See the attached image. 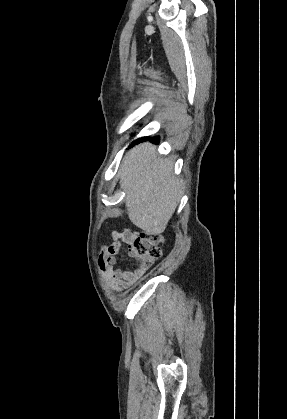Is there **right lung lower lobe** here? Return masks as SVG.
Segmentation results:
<instances>
[{
  "mask_svg": "<svg viewBox=\"0 0 287 419\" xmlns=\"http://www.w3.org/2000/svg\"><path fill=\"white\" fill-rule=\"evenodd\" d=\"M149 140V141H151V142H153V143H159V137H153V138H149V137H143V138H141V139H138L137 141H136V143L137 142H141V141H145V140Z\"/></svg>",
  "mask_w": 287,
  "mask_h": 419,
  "instance_id": "98d812e1",
  "label": "right lung lower lobe"
}]
</instances>
